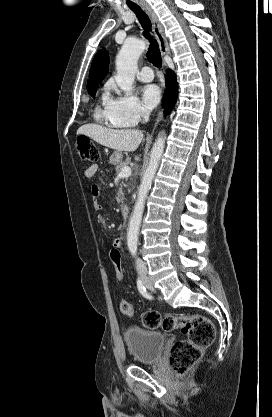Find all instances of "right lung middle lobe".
Here are the masks:
<instances>
[{
	"label": "right lung middle lobe",
	"mask_w": 272,
	"mask_h": 417,
	"mask_svg": "<svg viewBox=\"0 0 272 417\" xmlns=\"http://www.w3.org/2000/svg\"><path fill=\"white\" fill-rule=\"evenodd\" d=\"M95 92H96V90H89V91H88V93H89L91 96H94V95H95Z\"/></svg>",
	"instance_id": "dd1d6c3e"
}]
</instances>
